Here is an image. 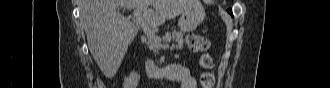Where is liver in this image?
Wrapping results in <instances>:
<instances>
[{
  "mask_svg": "<svg viewBox=\"0 0 330 88\" xmlns=\"http://www.w3.org/2000/svg\"><path fill=\"white\" fill-rule=\"evenodd\" d=\"M193 0H82L81 20L89 50L103 74L113 77L138 33V26L118 11L119 7L142 10L151 27L188 11Z\"/></svg>",
  "mask_w": 330,
  "mask_h": 88,
  "instance_id": "liver-1",
  "label": "liver"
}]
</instances>
